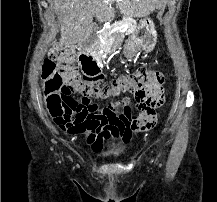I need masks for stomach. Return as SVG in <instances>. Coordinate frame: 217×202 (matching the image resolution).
Segmentation results:
<instances>
[{
    "label": "stomach",
    "instance_id": "0dacf381",
    "mask_svg": "<svg viewBox=\"0 0 217 202\" xmlns=\"http://www.w3.org/2000/svg\"><path fill=\"white\" fill-rule=\"evenodd\" d=\"M157 32L151 18H144L135 32L124 44L123 54L126 58H133L137 52H152L156 46Z\"/></svg>",
    "mask_w": 217,
    "mask_h": 202
}]
</instances>
